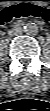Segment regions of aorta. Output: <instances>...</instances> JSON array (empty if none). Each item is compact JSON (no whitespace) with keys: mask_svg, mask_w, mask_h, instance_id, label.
<instances>
[{"mask_svg":"<svg viewBox=\"0 0 50 111\" xmlns=\"http://www.w3.org/2000/svg\"><path fill=\"white\" fill-rule=\"evenodd\" d=\"M24 32L28 35H35L38 32V26L35 23H27L24 26Z\"/></svg>","mask_w":50,"mask_h":111,"instance_id":"1","label":"aorta"}]
</instances>
